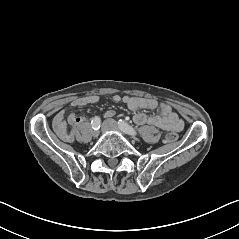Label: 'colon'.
I'll return each mask as SVG.
<instances>
[{
  "instance_id": "colon-1",
  "label": "colon",
  "mask_w": 239,
  "mask_h": 239,
  "mask_svg": "<svg viewBox=\"0 0 239 239\" xmlns=\"http://www.w3.org/2000/svg\"><path fill=\"white\" fill-rule=\"evenodd\" d=\"M176 139H177V134L176 133H168L164 137V142L165 143H172V142L176 141Z\"/></svg>"
}]
</instances>
